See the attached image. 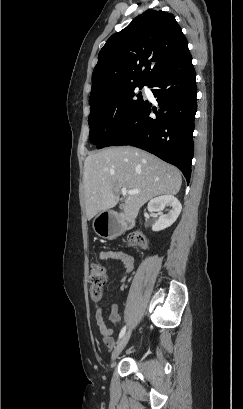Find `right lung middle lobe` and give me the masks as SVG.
I'll return each mask as SVG.
<instances>
[{"instance_id": "obj_1", "label": "right lung middle lobe", "mask_w": 243, "mask_h": 409, "mask_svg": "<svg viewBox=\"0 0 243 409\" xmlns=\"http://www.w3.org/2000/svg\"><path fill=\"white\" fill-rule=\"evenodd\" d=\"M148 84H132L90 103V140L98 149L107 147L121 128L144 103L140 89Z\"/></svg>"}]
</instances>
